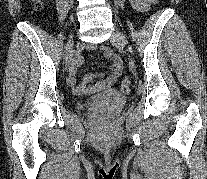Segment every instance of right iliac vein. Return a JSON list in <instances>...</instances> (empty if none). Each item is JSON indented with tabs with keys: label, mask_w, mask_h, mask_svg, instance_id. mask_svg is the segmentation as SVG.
<instances>
[{
	"label": "right iliac vein",
	"mask_w": 207,
	"mask_h": 179,
	"mask_svg": "<svg viewBox=\"0 0 207 179\" xmlns=\"http://www.w3.org/2000/svg\"><path fill=\"white\" fill-rule=\"evenodd\" d=\"M66 51H67V55H66V67H68L69 66V63H70V55H71V53L73 51V40H70L68 42Z\"/></svg>",
	"instance_id": "63e3f726"
}]
</instances>
